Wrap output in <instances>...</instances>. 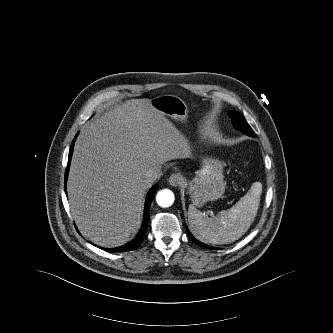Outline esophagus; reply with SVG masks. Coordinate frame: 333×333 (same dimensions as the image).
I'll return each mask as SVG.
<instances>
[{
    "label": "esophagus",
    "mask_w": 333,
    "mask_h": 333,
    "mask_svg": "<svg viewBox=\"0 0 333 333\" xmlns=\"http://www.w3.org/2000/svg\"><path fill=\"white\" fill-rule=\"evenodd\" d=\"M183 182V176L181 174H172L169 178V184L173 187H177Z\"/></svg>",
    "instance_id": "1"
}]
</instances>
